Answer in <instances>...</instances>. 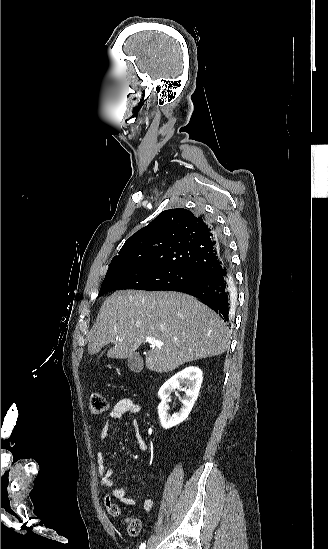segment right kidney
Masks as SVG:
<instances>
[{
    "instance_id": "1",
    "label": "right kidney",
    "mask_w": 328,
    "mask_h": 549,
    "mask_svg": "<svg viewBox=\"0 0 328 549\" xmlns=\"http://www.w3.org/2000/svg\"><path fill=\"white\" fill-rule=\"evenodd\" d=\"M180 383L186 385V389H181ZM202 383V371L198 367H186L180 373H176L174 377L168 379L158 391V395L161 399L160 405H158V415L160 423L163 429H171L175 425H179L182 421L187 419L200 391ZM179 389L186 393L185 399L181 401L183 409L181 413H174L172 417H168V405L171 395V391Z\"/></svg>"
}]
</instances>
